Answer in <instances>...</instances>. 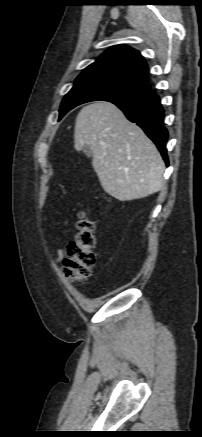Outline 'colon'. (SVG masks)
Returning <instances> with one entry per match:
<instances>
[{"mask_svg": "<svg viewBox=\"0 0 202 437\" xmlns=\"http://www.w3.org/2000/svg\"><path fill=\"white\" fill-rule=\"evenodd\" d=\"M94 222L89 218L88 212L81 209L78 214L77 232L67 244L64 263V274L73 282H84L92 274L96 263V237Z\"/></svg>", "mask_w": 202, "mask_h": 437, "instance_id": "colon-1", "label": "colon"}]
</instances>
